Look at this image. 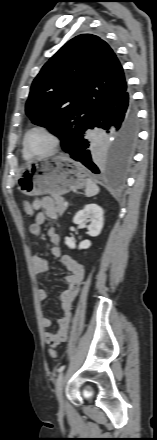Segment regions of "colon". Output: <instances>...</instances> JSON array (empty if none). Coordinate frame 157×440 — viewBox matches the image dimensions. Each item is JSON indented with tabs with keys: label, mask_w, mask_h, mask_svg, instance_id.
<instances>
[{
	"label": "colon",
	"mask_w": 157,
	"mask_h": 440,
	"mask_svg": "<svg viewBox=\"0 0 157 440\" xmlns=\"http://www.w3.org/2000/svg\"><path fill=\"white\" fill-rule=\"evenodd\" d=\"M23 210H24V212H25V214H26L27 216H32V215H33V208H32V206L30 205V203L27 202V201H24V202H23ZM48 354H49V357H50L51 359H54V358L57 357V351H56L55 349H50V350L48 351Z\"/></svg>",
	"instance_id": "5ec220e1"
}]
</instances>
